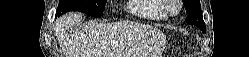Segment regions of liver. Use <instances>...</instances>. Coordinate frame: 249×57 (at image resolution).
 Segmentation results:
<instances>
[{"label":"liver","instance_id":"6515ba94","mask_svg":"<svg viewBox=\"0 0 249 57\" xmlns=\"http://www.w3.org/2000/svg\"><path fill=\"white\" fill-rule=\"evenodd\" d=\"M81 19V13H68L57 22L60 45L66 49L67 57L161 55L162 34L157 28L129 21L107 24L91 21L81 30L65 32Z\"/></svg>","mask_w":249,"mask_h":57}]
</instances>
